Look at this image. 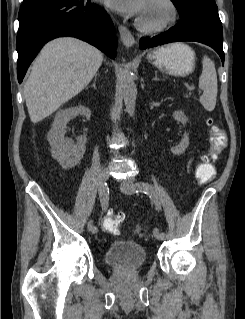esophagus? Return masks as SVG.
I'll use <instances>...</instances> for the list:
<instances>
[{
  "instance_id": "34e87169",
  "label": "esophagus",
  "mask_w": 245,
  "mask_h": 319,
  "mask_svg": "<svg viewBox=\"0 0 245 319\" xmlns=\"http://www.w3.org/2000/svg\"><path fill=\"white\" fill-rule=\"evenodd\" d=\"M118 29H119V34H120V37H121L123 44L127 48L133 47L135 44V39H134L132 33L123 25H119Z\"/></svg>"
}]
</instances>
